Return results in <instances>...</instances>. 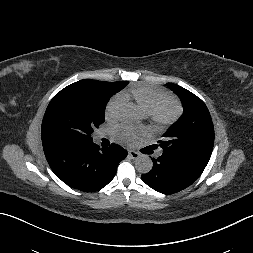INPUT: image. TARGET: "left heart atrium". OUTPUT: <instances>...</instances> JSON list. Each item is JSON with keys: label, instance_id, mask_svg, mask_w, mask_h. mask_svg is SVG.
Returning a JSON list of instances; mask_svg holds the SVG:
<instances>
[{"label": "left heart atrium", "instance_id": "obj_1", "mask_svg": "<svg viewBox=\"0 0 253 253\" xmlns=\"http://www.w3.org/2000/svg\"><path fill=\"white\" fill-rule=\"evenodd\" d=\"M145 131H140V132H135L129 128H123L120 132L119 135L121 137L122 140L127 141V142H131L133 140H135V138L137 137V135L139 134H145Z\"/></svg>", "mask_w": 253, "mask_h": 253}]
</instances>
